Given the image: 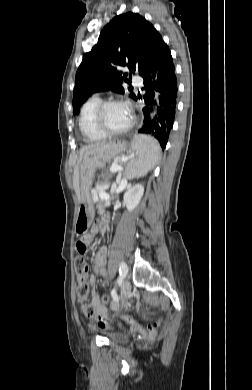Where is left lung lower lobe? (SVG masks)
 Here are the masks:
<instances>
[{"mask_svg": "<svg viewBox=\"0 0 252 390\" xmlns=\"http://www.w3.org/2000/svg\"><path fill=\"white\" fill-rule=\"evenodd\" d=\"M144 79L146 94L143 96L146 107L143 108L145 124L140 133L155 137L164 149L166 147L170 130L173 127L177 106V77L173 58L167 44L162 41L148 66L141 74ZM154 90L160 93L157 115L153 120L148 118L154 102ZM137 100V99H136Z\"/></svg>", "mask_w": 252, "mask_h": 390, "instance_id": "left-lung-lower-lobe-1", "label": "left lung lower lobe"}]
</instances>
